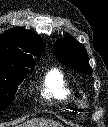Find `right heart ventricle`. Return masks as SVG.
Returning <instances> with one entry per match:
<instances>
[{
  "label": "right heart ventricle",
  "instance_id": "1",
  "mask_svg": "<svg viewBox=\"0 0 108 127\" xmlns=\"http://www.w3.org/2000/svg\"><path fill=\"white\" fill-rule=\"evenodd\" d=\"M41 96L46 102L71 104L75 102L76 93L64 72L58 68L50 69L42 85Z\"/></svg>",
  "mask_w": 108,
  "mask_h": 127
}]
</instances>
